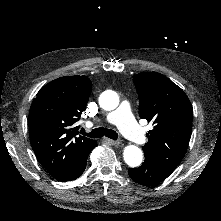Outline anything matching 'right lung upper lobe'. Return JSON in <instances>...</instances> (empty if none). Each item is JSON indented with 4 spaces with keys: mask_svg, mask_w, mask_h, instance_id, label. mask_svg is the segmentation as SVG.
Returning <instances> with one entry per match:
<instances>
[{
    "mask_svg": "<svg viewBox=\"0 0 221 221\" xmlns=\"http://www.w3.org/2000/svg\"><path fill=\"white\" fill-rule=\"evenodd\" d=\"M92 83L86 76H65L46 84L34 99L28 118L32 149L47 172L59 180L73 171L96 145L76 136Z\"/></svg>",
    "mask_w": 221,
    "mask_h": 221,
    "instance_id": "cb5924a9",
    "label": "right lung upper lobe"
}]
</instances>
